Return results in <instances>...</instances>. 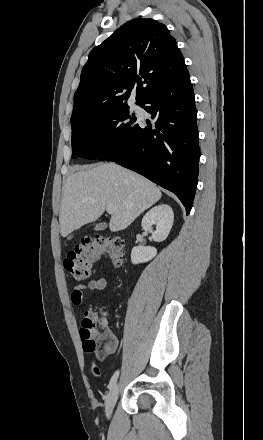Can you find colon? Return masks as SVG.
Listing matches in <instances>:
<instances>
[{
    "label": "colon",
    "instance_id": "obj_1",
    "mask_svg": "<svg viewBox=\"0 0 263 440\" xmlns=\"http://www.w3.org/2000/svg\"><path fill=\"white\" fill-rule=\"evenodd\" d=\"M124 249L125 243L121 238H84L68 253L64 266L75 281H82L89 277L92 264L101 256H108L115 266H121L124 261ZM103 321L101 315L90 312L81 323L84 351L98 361L107 356L114 341V335L105 328ZM94 369L98 372L96 367Z\"/></svg>",
    "mask_w": 263,
    "mask_h": 440
}]
</instances>
